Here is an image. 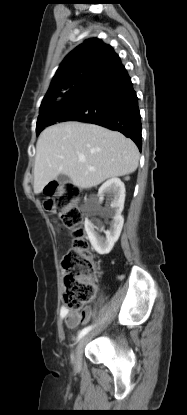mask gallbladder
Returning a JSON list of instances; mask_svg holds the SVG:
<instances>
[{
  "instance_id": "gallbladder-1",
  "label": "gallbladder",
  "mask_w": 187,
  "mask_h": 415,
  "mask_svg": "<svg viewBox=\"0 0 187 415\" xmlns=\"http://www.w3.org/2000/svg\"><path fill=\"white\" fill-rule=\"evenodd\" d=\"M57 181H58L60 184H67V183H70V182H71V181H70V178H69L68 176L64 175V174H59V175L57 176Z\"/></svg>"
}]
</instances>
